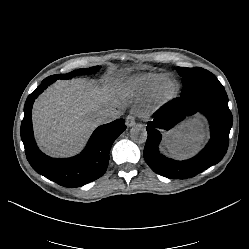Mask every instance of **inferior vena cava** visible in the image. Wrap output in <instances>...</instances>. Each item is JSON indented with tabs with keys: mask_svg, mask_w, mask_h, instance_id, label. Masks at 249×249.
I'll return each instance as SVG.
<instances>
[{
	"mask_svg": "<svg viewBox=\"0 0 249 249\" xmlns=\"http://www.w3.org/2000/svg\"><path fill=\"white\" fill-rule=\"evenodd\" d=\"M119 113L114 108H107L97 113L98 124L108 123L115 120Z\"/></svg>",
	"mask_w": 249,
	"mask_h": 249,
	"instance_id": "obj_1",
	"label": "inferior vena cava"
}]
</instances>
